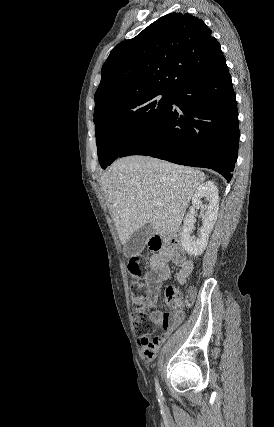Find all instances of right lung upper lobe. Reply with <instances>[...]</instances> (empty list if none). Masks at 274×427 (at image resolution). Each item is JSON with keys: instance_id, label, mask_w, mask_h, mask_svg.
<instances>
[{"instance_id": "obj_1", "label": "right lung upper lobe", "mask_w": 274, "mask_h": 427, "mask_svg": "<svg viewBox=\"0 0 274 427\" xmlns=\"http://www.w3.org/2000/svg\"><path fill=\"white\" fill-rule=\"evenodd\" d=\"M225 62L220 44L201 19L188 13L167 14L111 51L94 96V117L132 96L173 94L217 72Z\"/></svg>"}]
</instances>
